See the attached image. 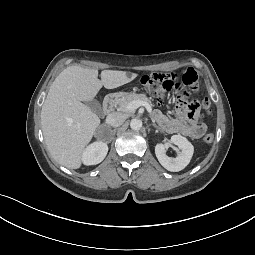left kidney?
Segmentation results:
<instances>
[{"instance_id": "obj_1", "label": "left kidney", "mask_w": 255, "mask_h": 255, "mask_svg": "<svg viewBox=\"0 0 255 255\" xmlns=\"http://www.w3.org/2000/svg\"><path fill=\"white\" fill-rule=\"evenodd\" d=\"M171 142L179 147L181 152L177 157H168L166 155V147L162 143L155 146V154L160 164L171 172H178L183 170L190 162L194 147L193 145L181 135H173Z\"/></svg>"}]
</instances>
